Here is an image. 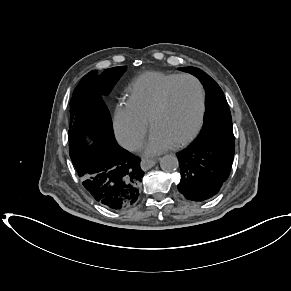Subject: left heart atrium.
I'll list each match as a JSON object with an SVG mask.
<instances>
[{"instance_id": "obj_1", "label": "left heart atrium", "mask_w": 291, "mask_h": 291, "mask_svg": "<svg viewBox=\"0 0 291 291\" xmlns=\"http://www.w3.org/2000/svg\"><path fill=\"white\" fill-rule=\"evenodd\" d=\"M172 147H174L173 142L158 132L152 131L144 146V153L147 156H155L171 149Z\"/></svg>"}]
</instances>
